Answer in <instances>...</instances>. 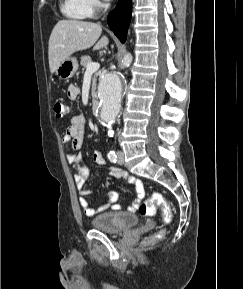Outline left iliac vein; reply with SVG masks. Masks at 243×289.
Returning <instances> with one entry per match:
<instances>
[{
    "label": "left iliac vein",
    "mask_w": 243,
    "mask_h": 289,
    "mask_svg": "<svg viewBox=\"0 0 243 289\" xmlns=\"http://www.w3.org/2000/svg\"><path fill=\"white\" fill-rule=\"evenodd\" d=\"M118 163L120 165L124 164V153L122 151L118 152Z\"/></svg>",
    "instance_id": "4c4485c4"
}]
</instances>
